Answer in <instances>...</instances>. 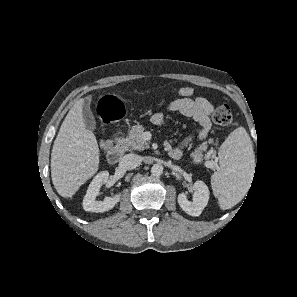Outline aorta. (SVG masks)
I'll return each instance as SVG.
<instances>
[{
	"label": "aorta",
	"instance_id": "1",
	"mask_svg": "<svg viewBox=\"0 0 297 297\" xmlns=\"http://www.w3.org/2000/svg\"><path fill=\"white\" fill-rule=\"evenodd\" d=\"M151 173L153 176H160L163 173V166L160 163H156L151 167Z\"/></svg>",
	"mask_w": 297,
	"mask_h": 297
}]
</instances>
